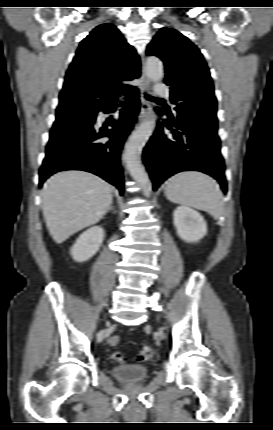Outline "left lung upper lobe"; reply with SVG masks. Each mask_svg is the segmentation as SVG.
<instances>
[{
	"label": "left lung upper lobe",
	"instance_id": "obj_1",
	"mask_svg": "<svg viewBox=\"0 0 273 430\" xmlns=\"http://www.w3.org/2000/svg\"><path fill=\"white\" fill-rule=\"evenodd\" d=\"M147 55L165 65V83L175 110L195 119L217 120V100L208 66L199 49L173 28H162L147 46Z\"/></svg>",
	"mask_w": 273,
	"mask_h": 430
}]
</instances>
